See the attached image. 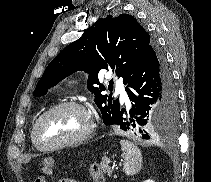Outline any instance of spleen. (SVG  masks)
I'll use <instances>...</instances> for the list:
<instances>
[{"label":"spleen","instance_id":"obj_1","mask_svg":"<svg viewBox=\"0 0 211 182\" xmlns=\"http://www.w3.org/2000/svg\"><path fill=\"white\" fill-rule=\"evenodd\" d=\"M120 145L124 153L123 171L127 176H133L142 168L141 151L134 143L128 140H121Z\"/></svg>","mask_w":211,"mask_h":182}]
</instances>
